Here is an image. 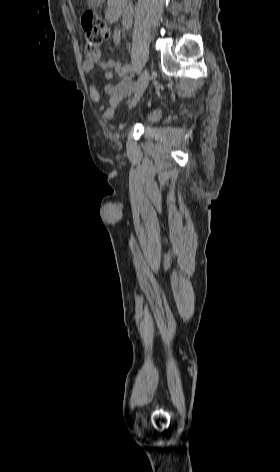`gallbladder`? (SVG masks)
<instances>
[{
	"label": "gallbladder",
	"instance_id": "bac80fb5",
	"mask_svg": "<svg viewBox=\"0 0 280 472\" xmlns=\"http://www.w3.org/2000/svg\"><path fill=\"white\" fill-rule=\"evenodd\" d=\"M104 0H88V6L92 8L99 7Z\"/></svg>",
	"mask_w": 280,
	"mask_h": 472
}]
</instances>
